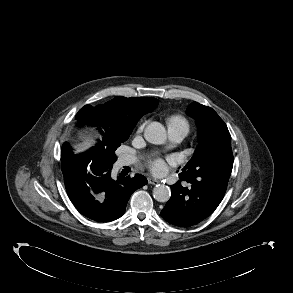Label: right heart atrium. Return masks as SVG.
Masks as SVG:
<instances>
[{"label": "right heart atrium", "mask_w": 293, "mask_h": 293, "mask_svg": "<svg viewBox=\"0 0 293 293\" xmlns=\"http://www.w3.org/2000/svg\"><path fill=\"white\" fill-rule=\"evenodd\" d=\"M143 129H144V123H142V124H140L139 126H138V132H142L143 131Z\"/></svg>", "instance_id": "obj_1"}]
</instances>
